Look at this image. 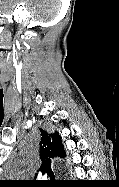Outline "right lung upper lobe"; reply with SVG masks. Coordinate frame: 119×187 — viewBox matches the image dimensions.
Returning a JSON list of instances; mask_svg holds the SVG:
<instances>
[{
    "instance_id": "obj_1",
    "label": "right lung upper lobe",
    "mask_w": 119,
    "mask_h": 187,
    "mask_svg": "<svg viewBox=\"0 0 119 187\" xmlns=\"http://www.w3.org/2000/svg\"><path fill=\"white\" fill-rule=\"evenodd\" d=\"M41 141H40V158L42 166L40 171L43 173L52 174L51 163L54 157L64 158L65 151L62 145L61 138L57 132L47 133V131L41 129Z\"/></svg>"
}]
</instances>
